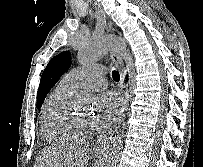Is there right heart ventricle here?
Returning a JSON list of instances; mask_svg holds the SVG:
<instances>
[{"label": "right heart ventricle", "instance_id": "right-heart-ventricle-1", "mask_svg": "<svg viewBox=\"0 0 203 167\" xmlns=\"http://www.w3.org/2000/svg\"><path fill=\"white\" fill-rule=\"evenodd\" d=\"M75 89L59 83L48 96L41 115V135L50 144H65L77 139L69 126L71 97Z\"/></svg>", "mask_w": 203, "mask_h": 167}]
</instances>
